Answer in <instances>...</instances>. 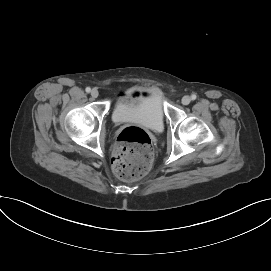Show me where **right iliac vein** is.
Listing matches in <instances>:
<instances>
[{
    "mask_svg": "<svg viewBox=\"0 0 271 271\" xmlns=\"http://www.w3.org/2000/svg\"><path fill=\"white\" fill-rule=\"evenodd\" d=\"M98 95H99V92H98L97 89H93V90L91 91V96H92L93 98H97Z\"/></svg>",
    "mask_w": 271,
    "mask_h": 271,
    "instance_id": "obj_1",
    "label": "right iliac vein"
}]
</instances>
